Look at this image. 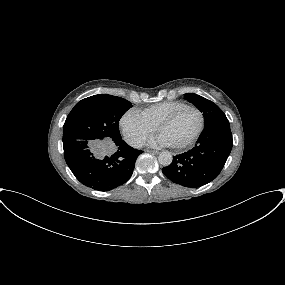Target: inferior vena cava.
I'll use <instances>...</instances> for the list:
<instances>
[{"instance_id": "obj_1", "label": "inferior vena cava", "mask_w": 285, "mask_h": 285, "mask_svg": "<svg viewBox=\"0 0 285 285\" xmlns=\"http://www.w3.org/2000/svg\"><path fill=\"white\" fill-rule=\"evenodd\" d=\"M131 144H132V146H134L136 148L142 147V141L139 139H135V140L131 141Z\"/></svg>"}]
</instances>
